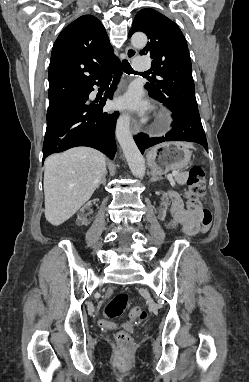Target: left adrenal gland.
<instances>
[{"instance_id": "a2214340", "label": "left adrenal gland", "mask_w": 249, "mask_h": 382, "mask_svg": "<svg viewBox=\"0 0 249 382\" xmlns=\"http://www.w3.org/2000/svg\"><path fill=\"white\" fill-rule=\"evenodd\" d=\"M159 180H161V178L157 177L155 173H152L151 182H156V181H159Z\"/></svg>"}]
</instances>
